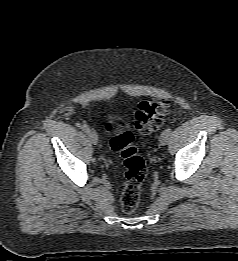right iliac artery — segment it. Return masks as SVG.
Segmentation results:
<instances>
[{
	"label": "right iliac artery",
	"mask_w": 238,
	"mask_h": 261,
	"mask_svg": "<svg viewBox=\"0 0 238 261\" xmlns=\"http://www.w3.org/2000/svg\"><path fill=\"white\" fill-rule=\"evenodd\" d=\"M82 130L84 132H88L89 131V127L86 124H84V125H82Z\"/></svg>",
	"instance_id": "right-iliac-artery-1"
}]
</instances>
